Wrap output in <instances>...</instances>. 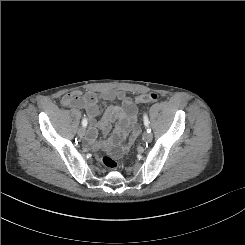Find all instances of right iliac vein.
<instances>
[{
    "instance_id": "1",
    "label": "right iliac vein",
    "mask_w": 245,
    "mask_h": 245,
    "mask_svg": "<svg viewBox=\"0 0 245 245\" xmlns=\"http://www.w3.org/2000/svg\"><path fill=\"white\" fill-rule=\"evenodd\" d=\"M78 135L83 137L85 135V128L82 126L78 129Z\"/></svg>"
}]
</instances>
